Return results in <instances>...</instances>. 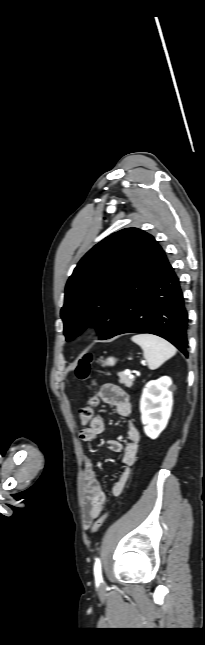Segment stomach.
<instances>
[{
  "label": "stomach",
  "instance_id": "obj_1",
  "mask_svg": "<svg viewBox=\"0 0 205 645\" xmlns=\"http://www.w3.org/2000/svg\"><path fill=\"white\" fill-rule=\"evenodd\" d=\"M116 363V359L114 357H109L105 361H103L104 366H113Z\"/></svg>",
  "mask_w": 205,
  "mask_h": 645
}]
</instances>
